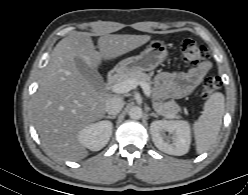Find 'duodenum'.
Here are the masks:
<instances>
[{
    "instance_id": "410a0bca",
    "label": "duodenum",
    "mask_w": 248,
    "mask_h": 195,
    "mask_svg": "<svg viewBox=\"0 0 248 195\" xmlns=\"http://www.w3.org/2000/svg\"><path fill=\"white\" fill-rule=\"evenodd\" d=\"M119 75H120V71L118 70L111 71L107 76V85L109 86L112 85L119 77Z\"/></svg>"
}]
</instances>
